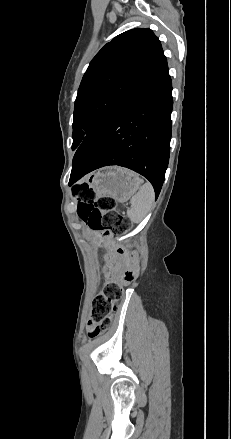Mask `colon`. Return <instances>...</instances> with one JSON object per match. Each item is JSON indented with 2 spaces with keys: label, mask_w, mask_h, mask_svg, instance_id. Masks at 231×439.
<instances>
[{
  "label": "colon",
  "mask_w": 231,
  "mask_h": 439,
  "mask_svg": "<svg viewBox=\"0 0 231 439\" xmlns=\"http://www.w3.org/2000/svg\"><path fill=\"white\" fill-rule=\"evenodd\" d=\"M78 199V214L90 230L107 237L110 232L127 231L132 227L131 220L116 209V201L111 197L98 196L92 186L83 183L74 188ZM124 257L125 252L117 253ZM114 267L115 264L113 263ZM136 277L134 268L125 270L118 278L113 274L105 283L102 293L95 296L92 303L91 317L88 325L90 336L105 332L111 322V313L119 301L123 286L130 284Z\"/></svg>",
  "instance_id": "5ec220e1"
}]
</instances>
